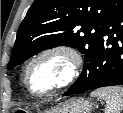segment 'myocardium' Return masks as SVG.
<instances>
[{"label": "myocardium", "instance_id": "f54148a6", "mask_svg": "<svg viewBox=\"0 0 123 113\" xmlns=\"http://www.w3.org/2000/svg\"><path fill=\"white\" fill-rule=\"evenodd\" d=\"M50 58H61L63 69L59 77L46 90L37 92L29 84V73L34 66ZM83 62L82 53L73 45L60 43L45 47L34 54L24 66L23 84L30 95L38 98L48 97L76 81L81 74Z\"/></svg>", "mask_w": 123, "mask_h": 113}]
</instances>
